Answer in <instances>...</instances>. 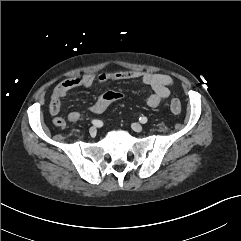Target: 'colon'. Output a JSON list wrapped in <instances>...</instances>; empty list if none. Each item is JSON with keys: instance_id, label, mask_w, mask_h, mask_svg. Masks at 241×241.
Returning <instances> with one entry per match:
<instances>
[{"instance_id": "colon-1", "label": "colon", "mask_w": 241, "mask_h": 241, "mask_svg": "<svg viewBox=\"0 0 241 241\" xmlns=\"http://www.w3.org/2000/svg\"><path fill=\"white\" fill-rule=\"evenodd\" d=\"M102 97H103V99H105L107 101H115V100L121 99L122 94L118 90L110 89V90L103 92ZM181 109H182L181 102L177 98H173L170 101L171 112L174 114H179L181 112Z\"/></svg>"}]
</instances>
